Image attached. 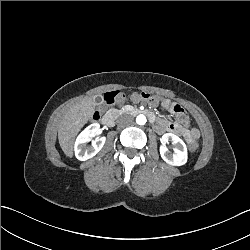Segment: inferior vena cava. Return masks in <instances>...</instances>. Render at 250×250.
<instances>
[{"label": "inferior vena cava", "mask_w": 250, "mask_h": 250, "mask_svg": "<svg viewBox=\"0 0 250 250\" xmlns=\"http://www.w3.org/2000/svg\"><path fill=\"white\" fill-rule=\"evenodd\" d=\"M133 122V117L129 114H122L121 116L118 117L116 123L121 126H127L130 125Z\"/></svg>", "instance_id": "obj_1"}]
</instances>
